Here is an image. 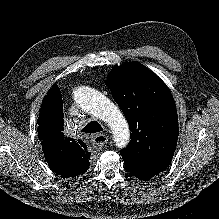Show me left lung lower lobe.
<instances>
[{"instance_id":"left-lung-lower-lobe-1","label":"left lung lower lobe","mask_w":219,"mask_h":219,"mask_svg":"<svg viewBox=\"0 0 219 219\" xmlns=\"http://www.w3.org/2000/svg\"><path fill=\"white\" fill-rule=\"evenodd\" d=\"M126 169L140 180H149L160 172L164 171L168 165L131 163L124 160Z\"/></svg>"}]
</instances>
